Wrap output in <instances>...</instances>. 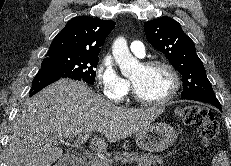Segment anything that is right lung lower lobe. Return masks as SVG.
<instances>
[{"label":"right lung lower lobe","instance_id":"98d812e1","mask_svg":"<svg viewBox=\"0 0 231 166\" xmlns=\"http://www.w3.org/2000/svg\"><path fill=\"white\" fill-rule=\"evenodd\" d=\"M60 78H70V79H77L79 81H83L81 78L75 77L70 74H65L60 71H56L52 69H40L37 75L33 79L32 87L30 90V96H33L41 89L59 80Z\"/></svg>","mask_w":231,"mask_h":166}]
</instances>
